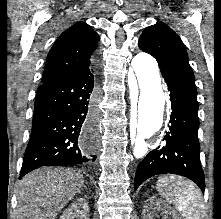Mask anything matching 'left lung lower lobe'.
Segmentation results:
<instances>
[{
	"mask_svg": "<svg viewBox=\"0 0 221 219\" xmlns=\"http://www.w3.org/2000/svg\"><path fill=\"white\" fill-rule=\"evenodd\" d=\"M172 103L169 132L165 143L148 153L139 163L134 190L158 174H178L194 181L204 193V173L199 159L198 102L194 84L181 76L161 70Z\"/></svg>",
	"mask_w": 221,
	"mask_h": 219,
	"instance_id": "1",
	"label": "left lung lower lobe"
}]
</instances>
